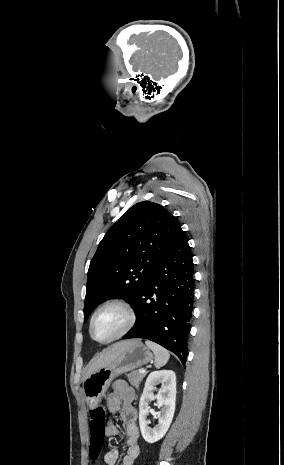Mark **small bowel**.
<instances>
[{
	"mask_svg": "<svg viewBox=\"0 0 284 465\" xmlns=\"http://www.w3.org/2000/svg\"><path fill=\"white\" fill-rule=\"evenodd\" d=\"M135 390L123 380H116L112 385V391L107 397V407L111 414H120L126 434L125 454L121 465H133L140 454V434L137 426L138 412L133 402ZM120 431L118 426L110 420L106 426L105 434L108 437H117ZM119 459V450L115 447L108 448L104 461L106 465H116Z\"/></svg>",
	"mask_w": 284,
	"mask_h": 465,
	"instance_id": "c3829d8e",
	"label": "small bowel"
}]
</instances>
